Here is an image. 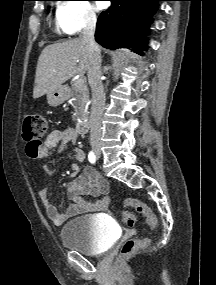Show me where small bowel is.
<instances>
[{
  "label": "small bowel",
  "mask_w": 216,
  "mask_h": 285,
  "mask_svg": "<svg viewBox=\"0 0 216 285\" xmlns=\"http://www.w3.org/2000/svg\"><path fill=\"white\" fill-rule=\"evenodd\" d=\"M79 135L80 132L73 127L53 130L46 137L41 152L35 158H44L51 149L58 147L60 151L71 149L73 157L77 161L82 162L85 159V152L82 148L76 146ZM44 170L48 174L53 172L49 165H45ZM48 192L49 189L47 187L43 188L39 192V197L47 216L56 225H61L69 218L83 213L102 211L109 204V197L107 196L108 185L92 167H86L77 178L69 182L67 196L71 204L66 211L60 212L58 210L51 201ZM85 196H101V198L96 201H90Z\"/></svg>",
  "instance_id": "c3829d8e"
}]
</instances>
